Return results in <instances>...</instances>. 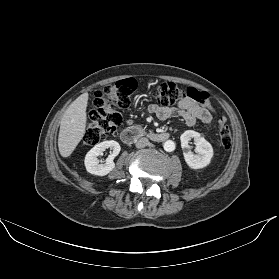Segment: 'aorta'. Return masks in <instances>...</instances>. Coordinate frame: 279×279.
Listing matches in <instances>:
<instances>
[{
    "instance_id": "762f6f07",
    "label": "aorta",
    "mask_w": 279,
    "mask_h": 279,
    "mask_svg": "<svg viewBox=\"0 0 279 279\" xmlns=\"http://www.w3.org/2000/svg\"><path fill=\"white\" fill-rule=\"evenodd\" d=\"M163 148L167 152H172L175 149V143L172 140H167L164 142Z\"/></svg>"
}]
</instances>
